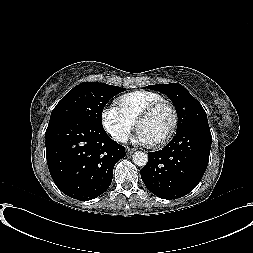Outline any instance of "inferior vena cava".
Here are the masks:
<instances>
[{
  "label": "inferior vena cava",
  "instance_id": "602c4592",
  "mask_svg": "<svg viewBox=\"0 0 253 253\" xmlns=\"http://www.w3.org/2000/svg\"><path fill=\"white\" fill-rule=\"evenodd\" d=\"M127 140V137H122L120 141L125 142Z\"/></svg>",
  "mask_w": 253,
  "mask_h": 253
}]
</instances>
